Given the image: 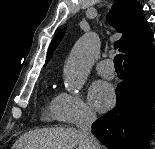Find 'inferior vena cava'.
<instances>
[{
	"mask_svg": "<svg viewBox=\"0 0 155 149\" xmlns=\"http://www.w3.org/2000/svg\"><path fill=\"white\" fill-rule=\"evenodd\" d=\"M96 120V115L90 111H85L79 123V130L84 137L87 149H100L98 140L91 132V125Z\"/></svg>",
	"mask_w": 155,
	"mask_h": 149,
	"instance_id": "inferior-vena-cava-1",
	"label": "inferior vena cava"
}]
</instances>
